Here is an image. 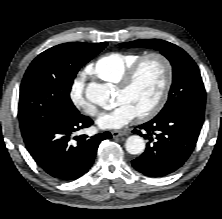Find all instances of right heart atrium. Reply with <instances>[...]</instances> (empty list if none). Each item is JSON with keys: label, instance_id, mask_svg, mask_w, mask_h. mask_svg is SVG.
Returning a JSON list of instances; mask_svg holds the SVG:
<instances>
[{"label": "right heart atrium", "instance_id": "right-heart-atrium-1", "mask_svg": "<svg viewBox=\"0 0 222 219\" xmlns=\"http://www.w3.org/2000/svg\"><path fill=\"white\" fill-rule=\"evenodd\" d=\"M69 96L74 106L89 116H96L98 110L96 107L85 97L84 94V79L77 76L73 79Z\"/></svg>", "mask_w": 222, "mask_h": 219}]
</instances>
